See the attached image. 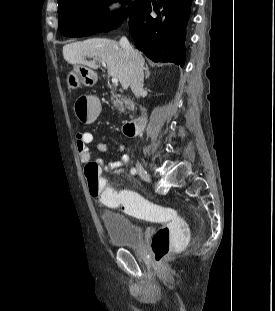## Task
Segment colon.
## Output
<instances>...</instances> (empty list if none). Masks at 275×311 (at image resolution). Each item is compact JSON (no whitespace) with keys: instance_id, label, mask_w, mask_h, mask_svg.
Returning a JSON list of instances; mask_svg holds the SVG:
<instances>
[{"instance_id":"colon-1","label":"colon","mask_w":275,"mask_h":311,"mask_svg":"<svg viewBox=\"0 0 275 311\" xmlns=\"http://www.w3.org/2000/svg\"><path fill=\"white\" fill-rule=\"evenodd\" d=\"M73 108L82 125H95L101 112L99 97H79L75 99ZM89 193L93 198H100L103 202L121 206L128 213L163 221L153 234L151 249L155 262L161 266L164 259L173 251L183 248L187 241V225L175 209L155 206L138 195L137 190H113L109 179L99 174V167L91 162L85 167Z\"/></svg>"}]
</instances>
